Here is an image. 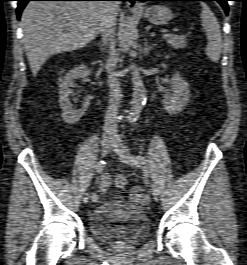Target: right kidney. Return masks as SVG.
<instances>
[{
  "label": "right kidney",
  "mask_w": 247,
  "mask_h": 265,
  "mask_svg": "<svg viewBox=\"0 0 247 265\" xmlns=\"http://www.w3.org/2000/svg\"><path fill=\"white\" fill-rule=\"evenodd\" d=\"M91 71L86 65H78L69 70L68 73L59 82V105L62 109V118L68 124L78 122L90 105V101L83 102L80 109H74L70 102L71 87L74 86V80L89 76Z\"/></svg>",
  "instance_id": "obj_1"
}]
</instances>
